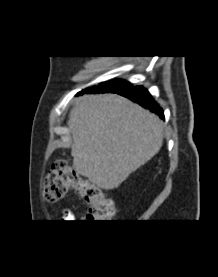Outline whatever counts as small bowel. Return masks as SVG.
<instances>
[{
  "label": "small bowel",
  "mask_w": 218,
  "mask_h": 277,
  "mask_svg": "<svg viewBox=\"0 0 218 277\" xmlns=\"http://www.w3.org/2000/svg\"><path fill=\"white\" fill-rule=\"evenodd\" d=\"M61 220L63 222H73L75 220V216H74V213L72 212V210H70L68 208L64 209L62 212Z\"/></svg>",
  "instance_id": "obj_1"
}]
</instances>
